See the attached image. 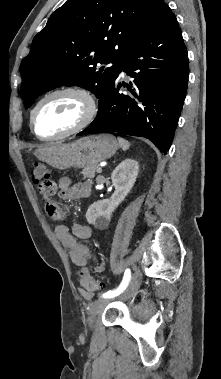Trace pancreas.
I'll list each match as a JSON object with an SVG mask.
<instances>
[{
  "mask_svg": "<svg viewBox=\"0 0 221 379\" xmlns=\"http://www.w3.org/2000/svg\"><path fill=\"white\" fill-rule=\"evenodd\" d=\"M98 169V166H90V167H86L82 170V175L85 177V178H93L95 176V173Z\"/></svg>",
  "mask_w": 221,
  "mask_h": 379,
  "instance_id": "obj_1",
  "label": "pancreas"
}]
</instances>
